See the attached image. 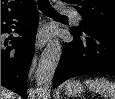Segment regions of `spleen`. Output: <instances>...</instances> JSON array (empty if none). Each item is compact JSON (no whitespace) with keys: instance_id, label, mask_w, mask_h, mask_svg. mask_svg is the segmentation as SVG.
<instances>
[{"instance_id":"spleen-1","label":"spleen","mask_w":115,"mask_h":99,"mask_svg":"<svg viewBox=\"0 0 115 99\" xmlns=\"http://www.w3.org/2000/svg\"><path fill=\"white\" fill-rule=\"evenodd\" d=\"M84 83L89 86L90 90L100 93L108 99H115V83L109 82L104 78L88 79Z\"/></svg>"}]
</instances>
